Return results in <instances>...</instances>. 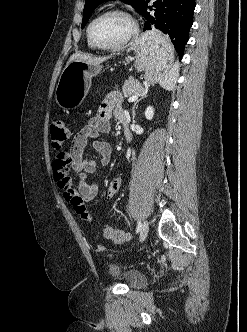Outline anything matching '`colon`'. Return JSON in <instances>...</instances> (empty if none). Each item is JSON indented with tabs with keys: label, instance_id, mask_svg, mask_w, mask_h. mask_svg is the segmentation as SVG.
<instances>
[{
	"label": "colon",
	"instance_id": "5ec220e1",
	"mask_svg": "<svg viewBox=\"0 0 247 332\" xmlns=\"http://www.w3.org/2000/svg\"><path fill=\"white\" fill-rule=\"evenodd\" d=\"M51 142L55 149H61L69 140L70 129L63 119L52 122L50 127ZM106 239L112 240L116 244H123L131 240V234L120 229L107 227L103 230Z\"/></svg>",
	"mask_w": 247,
	"mask_h": 332
}]
</instances>
